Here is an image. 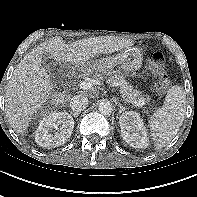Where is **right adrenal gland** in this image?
I'll use <instances>...</instances> for the list:
<instances>
[{"instance_id":"right-adrenal-gland-1","label":"right adrenal gland","mask_w":197,"mask_h":197,"mask_svg":"<svg viewBox=\"0 0 197 197\" xmlns=\"http://www.w3.org/2000/svg\"><path fill=\"white\" fill-rule=\"evenodd\" d=\"M70 114H72L74 117H78L79 114H76L74 112H70Z\"/></svg>"}]
</instances>
